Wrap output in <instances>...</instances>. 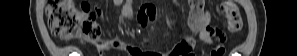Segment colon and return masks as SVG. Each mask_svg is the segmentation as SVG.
Listing matches in <instances>:
<instances>
[{"mask_svg": "<svg viewBox=\"0 0 297 56\" xmlns=\"http://www.w3.org/2000/svg\"><path fill=\"white\" fill-rule=\"evenodd\" d=\"M217 11L231 17L232 23L228 27L232 32L241 29V18L232 4L222 1L218 4ZM46 14L51 33L63 41L74 37L87 41V36H96V40H102L98 22L100 11L86 2L77 7L72 0H48ZM211 55L222 56L223 50L213 51Z\"/></svg>", "mask_w": 297, "mask_h": 56, "instance_id": "colon-1", "label": "colon"}]
</instances>
